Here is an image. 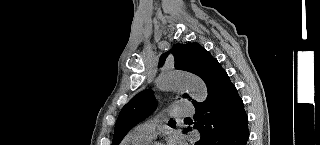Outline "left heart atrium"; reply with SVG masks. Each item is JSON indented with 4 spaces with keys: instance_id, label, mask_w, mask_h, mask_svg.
I'll return each mask as SVG.
<instances>
[{
    "instance_id": "obj_1",
    "label": "left heart atrium",
    "mask_w": 320,
    "mask_h": 145,
    "mask_svg": "<svg viewBox=\"0 0 320 145\" xmlns=\"http://www.w3.org/2000/svg\"><path fill=\"white\" fill-rule=\"evenodd\" d=\"M170 145H184V141L182 136L178 134H174L169 139Z\"/></svg>"
}]
</instances>
